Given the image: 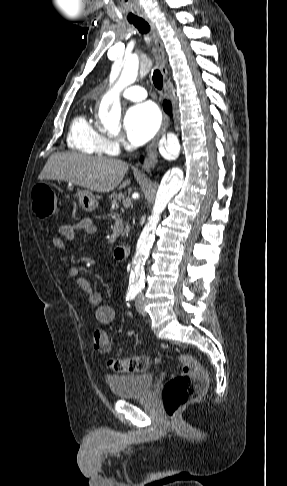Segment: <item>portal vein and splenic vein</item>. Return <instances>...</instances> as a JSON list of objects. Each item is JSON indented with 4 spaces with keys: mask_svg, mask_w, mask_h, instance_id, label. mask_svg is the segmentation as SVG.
Returning a JSON list of instances; mask_svg holds the SVG:
<instances>
[{
    "mask_svg": "<svg viewBox=\"0 0 287 486\" xmlns=\"http://www.w3.org/2000/svg\"><path fill=\"white\" fill-rule=\"evenodd\" d=\"M123 204H124L125 206H128V205L130 204V201H129V200H126V201H124V203H123Z\"/></svg>",
    "mask_w": 287,
    "mask_h": 486,
    "instance_id": "portal-vein-and-splenic-vein-1",
    "label": "portal vein and splenic vein"
}]
</instances>
